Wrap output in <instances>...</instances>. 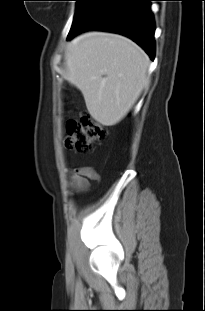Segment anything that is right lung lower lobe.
Masks as SVG:
<instances>
[{
    "mask_svg": "<svg viewBox=\"0 0 205 311\" xmlns=\"http://www.w3.org/2000/svg\"><path fill=\"white\" fill-rule=\"evenodd\" d=\"M152 0H90L68 40L86 30H102L125 35L139 44L153 60L154 20L149 8Z\"/></svg>",
    "mask_w": 205,
    "mask_h": 311,
    "instance_id": "1",
    "label": "right lung lower lobe"
}]
</instances>
